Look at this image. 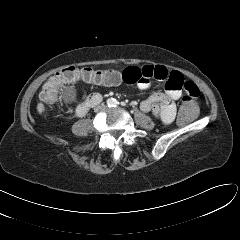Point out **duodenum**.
I'll use <instances>...</instances> for the list:
<instances>
[{"label":"duodenum","instance_id":"duodenum-1","mask_svg":"<svg viewBox=\"0 0 240 240\" xmlns=\"http://www.w3.org/2000/svg\"><path fill=\"white\" fill-rule=\"evenodd\" d=\"M101 100V97L99 95H92L90 96L86 101H84L82 104H80L77 107V115L78 116H84L88 110L95 105H97Z\"/></svg>","mask_w":240,"mask_h":240}]
</instances>
